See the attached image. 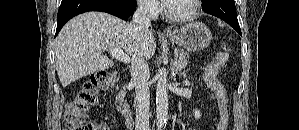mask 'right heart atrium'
Wrapping results in <instances>:
<instances>
[{
    "label": "right heart atrium",
    "instance_id": "obj_1",
    "mask_svg": "<svg viewBox=\"0 0 299 130\" xmlns=\"http://www.w3.org/2000/svg\"><path fill=\"white\" fill-rule=\"evenodd\" d=\"M138 5L140 10L150 17L157 16L161 10L159 2L155 0H139Z\"/></svg>",
    "mask_w": 299,
    "mask_h": 130
}]
</instances>
